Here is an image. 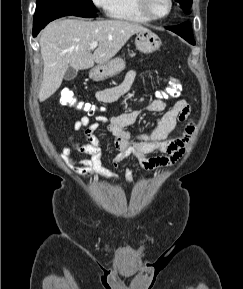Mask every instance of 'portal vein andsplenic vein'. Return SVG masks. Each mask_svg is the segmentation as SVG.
<instances>
[{"label": "portal vein and splenic vein", "instance_id": "obj_1", "mask_svg": "<svg viewBox=\"0 0 243 289\" xmlns=\"http://www.w3.org/2000/svg\"><path fill=\"white\" fill-rule=\"evenodd\" d=\"M98 46V42L97 41H94V42H91L90 43V48L91 49H94V48H96Z\"/></svg>", "mask_w": 243, "mask_h": 289}]
</instances>
